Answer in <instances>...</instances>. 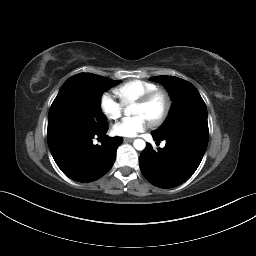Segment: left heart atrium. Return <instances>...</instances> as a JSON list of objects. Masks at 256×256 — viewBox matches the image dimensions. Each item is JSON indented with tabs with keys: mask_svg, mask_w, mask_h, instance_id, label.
<instances>
[{
	"mask_svg": "<svg viewBox=\"0 0 256 256\" xmlns=\"http://www.w3.org/2000/svg\"><path fill=\"white\" fill-rule=\"evenodd\" d=\"M149 126V120L138 115L131 118H125L113 127V132L122 137H134L138 133L144 131Z\"/></svg>",
	"mask_w": 256,
	"mask_h": 256,
	"instance_id": "left-heart-atrium-1",
	"label": "left heart atrium"
}]
</instances>
